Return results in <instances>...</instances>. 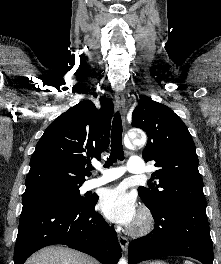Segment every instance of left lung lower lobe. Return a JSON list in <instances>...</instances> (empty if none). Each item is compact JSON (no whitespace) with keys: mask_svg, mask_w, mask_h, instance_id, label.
Returning <instances> with one entry per match:
<instances>
[{"mask_svg":"<svg viewBox=\"0 0 221 264\" xmlns=\"http://www.w3.org/2000/svg\"><path fill=\"white\" fill-rule=\"evenodd\" d=\"M151 213L155 228L130 242L129 264L166 256H187L203 264H213L206 207L168 205Z\"/></svg>","mask_w":221,"mask_h":264,"instance_id":"left-lung-lower-lobe-1","label":"left lung lower lobe"}]
</instances>
